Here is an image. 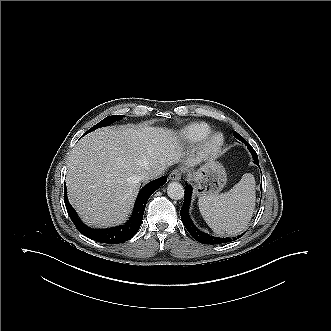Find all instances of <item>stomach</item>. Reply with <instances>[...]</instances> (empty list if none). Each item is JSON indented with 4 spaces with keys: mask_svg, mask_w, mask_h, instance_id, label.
Instances as JSON below:
<instances>
[{
    "mask_svg": "<svg viewBox=\"0 0 331 331\" xmlns=\"http://www.w3.org/2000/svg\"><path fill=\"white\" fill-rule=\"evenodd\" d=\"M189 177L195 183V192L198 196L220 193L227 181L224 167L213 159L192 171Z\"/></svg>",
    "mask_w": 331,
    "mask_h": 331,
    "instance_id": "stomach-1",
    "label": "stomach"
}]
</instances>
